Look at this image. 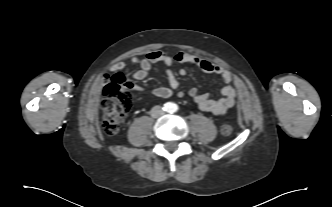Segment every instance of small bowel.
I'll return each mask as SVG.
<instances>
[{
    "instance_id": "c3829d8e",
    "label": "small bowel",
    "mask_w": 332,
    "mask_h": 207,
    "mask_svg": "<svg viewBox=\"0 0 332 207\" xmlns=\"http://www.w3.org/2000/svg\"><path fill=\"white\" fill-rule=\"evenodd\" d=\"M130 62L133 66L138 67V70L133 73L132 77L139 81L145 79L149 75L153 65L158 63L165 65L168 86L157 87L152 90V95L157 98H167L178 91L179 81L173 71L174 63L178 62L197 66L205 73L218 76L225 82V86L222 89V96L219 99H212L207 93L200 94L196 88H191L189 90V96L201 110L217 116H222L235 104L236 90L232 85V73L209 60L198 58L185 52H179L175 56H170L163 51L154 50L150 51L143 58L133 57ZM125 68L126 64L124 62H117L112 66V70H123ZM179 74L182 76L185 75L186 70L181 69ZM139 88L140 87L136 86V89Z\"/></svg>"
}]
</instances>
